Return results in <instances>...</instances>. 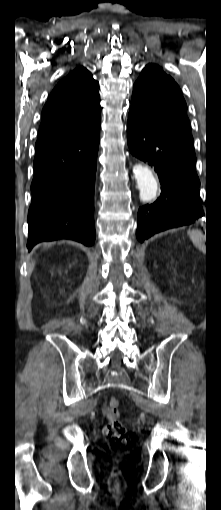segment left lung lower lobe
<instances>
[{
  "mask_svg": "<svg viewBox=\"0 0 221 510\" xmlns=\"http://www.w3.org/2000/svg\"><path fill=\"white\" fill-rule=\"evenodd\" d=\"M127 140L132 155L155 169L162 189L156 202L139 208L136 235L140 242L204 216L194 150L160 134L133 108L128 116Z\"/></svg>",
  "mask_w": 221,
  "mask_h": 510,
  "instance_id": "1",
  "label": "left lung lower lobe"
}]
</instances>
